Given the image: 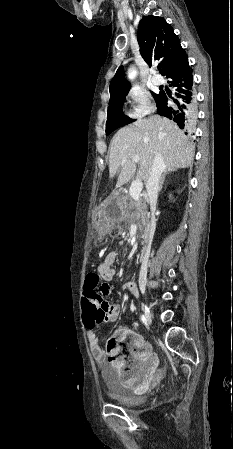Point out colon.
<instances>
[{
  "instance_id": "5ec220e1",
  "label": "colon",
  "mask_w": 233,
  "mask_h": 449,
  "mask_svg": "<svg viewBox=\"0 0 233 449\" xmlns=\"http://www.w3.org/2000/svg\"><path fill=\"white\" fill-rule=\"evenodd\" d=\"M100 276L96 272H89L84 281V292L81 298L83 328H102L104 308L100 306L101 292L98 290L100 286ZM133 342L132 335L124 331L118 336L110 339L107 344V353L111 361H117L120 358V345L125 343L131 345ZM127 365V364H126Z\"/></svg>"
}]
</instances>
